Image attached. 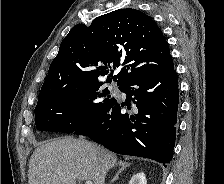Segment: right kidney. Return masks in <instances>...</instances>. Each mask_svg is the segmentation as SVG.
Here are the masks:
<instances>
[{
  "instance_id": "1",
  "label": "right kidney",
  "mask_w": 224,
  "mask_h": 184,
  "mask_svg": "<svg viewBox=\"0 0 224 184\" xmlns=\"http://www.w3.org/2000/svg\"><path fill=\"white\" fill-rule=\"evenodd\" d=\"M129 184H147V180L144 173H137L134 175L131 180L129 181Z\"/></svg>"
}]
</instances>
